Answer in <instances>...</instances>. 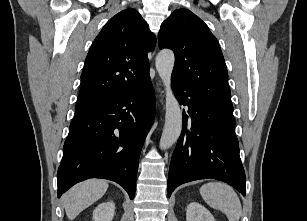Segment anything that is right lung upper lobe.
Wrapping results in <instances>:
<instances>
[{
    "label": "right lung upper lobe",
    "mask_w": 307,
    "mask_h": 221,
    "mask_svg": "<svg viewBox=\"0 0 307 221\" xmlns=\"http://www.w3.org/2000/svg\"><path fill=\"white\" fill-rule=\"evenodd\" d=\"M155 37L138 11L112 17L95 38L81 74L77 107H94L144 85Z\"/></svg>",
    "instance_id": "cb5924a9"
}]
</instances>
